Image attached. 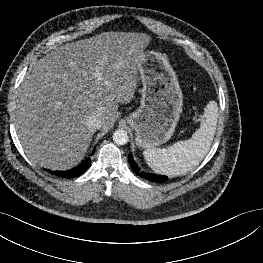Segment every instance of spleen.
Returning a JSON list of instances; mask_svg holds the SVG:
<instances>
[{
    "label": "spleen",
    "instance_id": "obj_1",
    "mask_svg": "<svg viewBox=\"0 0 263 263\" xmlns=\"http://www.w3.org/2000/svg\"><path fill=\"white\" fill-rule=\"evenodd\" d=\"M200 128L188 140L178 141L167 148L148 147L143 156L156 173L175 177L185 175L199 165L208 153L213 141L218 118V106L210 101L204 112Z\"/></svg>",
    "mask_w": 263,
    "mask_h": 263
}]
</instances>
